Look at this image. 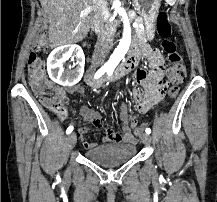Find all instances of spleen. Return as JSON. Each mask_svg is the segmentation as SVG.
<instances>
[{"mask_svg":"<svg viewBox=\"0 0 217 202\" xmlns=\"http://www.w3.org/2000/svg\"><path fill=\"white\" fill-rule=\"evenodd\" d=\"M167 5H176V0H166Z\"/></svg>","mask_w":217,"mask_h":202,"instance_id":"obj_1","label":"spleen"}]
</instances>
